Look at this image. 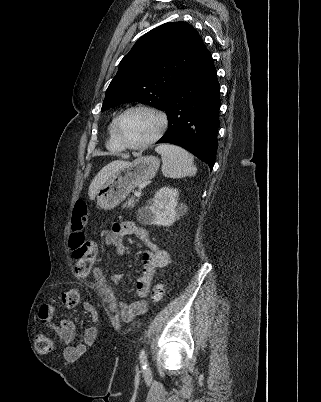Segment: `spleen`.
Masks as SVG:
<instances>
[{
    "label": "spleen",
    "mask_w": 321,
    "mask_h": 402,
    "mask_svg": "<svg viewBox=\"0 0 321 402\" xmlns=\"http://www.w3.org/2000/svg\"><path fill=\"white\" fill-rule=\"evenodd\" d=\"M155 151L162 158V173L169 178L192 177L197 173L193 156L185 149L172 144H161Z\"/></svg>",
    "instance_id": "obj_1"
}]
</instances>
